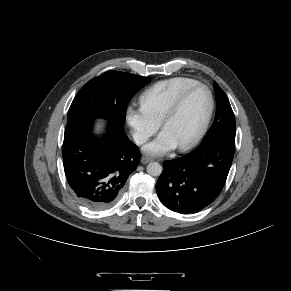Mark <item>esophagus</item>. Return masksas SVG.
Here are the masks:
<instances>
[{"mask_svg": "<svg viewBox=\"0 0 291 291\" xmlns=\"http://www.w3.org/2000/svg\"><path fill=\"white\" fill-rule=\"evenodd\" d=\"M152 160H153L152 158L144 156L141 158L140 161L142 164H147V163L151 162Z\"/></svg>", "mask_w": 291, "mask_h": 291, "instance_id": "obj_1", "label": "esophagus"}]
</instances>
